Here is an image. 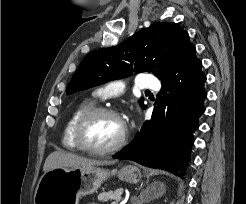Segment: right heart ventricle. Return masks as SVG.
Segmentation results:
<instances>
[{"instance_id":"right-heart-ventricle-1","label":"right heart ventricle","mask_w":246,"mask_h":204,"mask_svg":"<svg viewBox=\"0 0 246 204\" xmlns=\"http://www.w3.org/2000/svg\"><path fill=\"white\" fill-rule=\"evenodd\" d=\"M95 105V101L93 99H86L81 101L71 112L63 130L62 134V144L65 148L70 150H78V146L74 140V129L75 126L80 119V117L92 109Z\"/></svg>"}]
</instances>
